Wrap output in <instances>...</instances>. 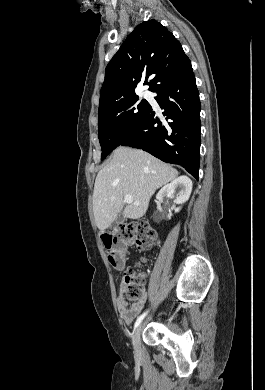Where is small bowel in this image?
Returning <instances> with one entry per match:
<instances>
[{"label": "small bowel", "instance_id": "small-bowel-1", "mask_svg": "<svg viewBox=\"0 0 265 390\" xmlns=\"http://www.w3.org/2000/svg\"><path fill=\"white\" fill-rule=\"evenodd\" d=\"M124 292H125V283L122 282L120 287H119V295L117 298V306H118V311L119 314L122 318V320L129 324L131 323L136 316L142 311L147 297L144 296L141 300L134 302L130 306L127 304L124 298Z\"/></svg>", "mask_w": 265, "mask_h": 390}]
</instances>
